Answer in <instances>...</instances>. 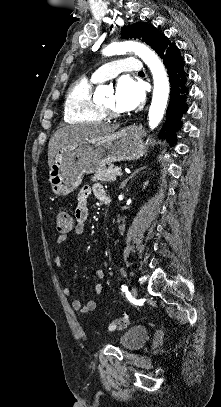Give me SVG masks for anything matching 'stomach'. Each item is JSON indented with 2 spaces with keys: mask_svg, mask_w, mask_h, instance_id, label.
I'll return each instance as SVG.
<instances>
[{
  "mask_svg": "<svg viewBox=\"0 0 221 407\" xmlns=\"http://www.w3.org/2000/svg\"><path fill=\"white\" fill-rule=\"evenodd\" d=\"M145 153L142 131L135 126L95 140L66 145L57 152L49 166L52 192L66 196L81 184L85 174L96 172L113 162L139 159Z\"/></svg>",
  "mask_w": 221,
  "mask_h": 407,
  "instance_id": "obj_1",
  "label": "stomach"
}]
</instances>
